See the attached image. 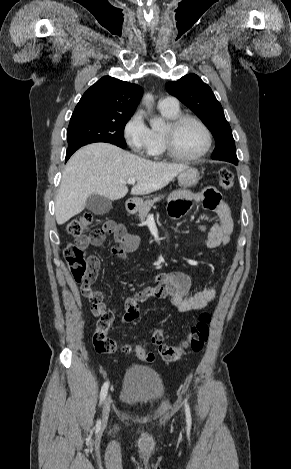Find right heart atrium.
Returning <instances> with one entry per match:
<instances>
[{"instance_id":"d8ad5b80","label":"right heart atrium","mask_w":291,"mask_h":469,"mask_svg":"<svg viewBox=\"0 0 291 469\" xmlns=\"http://www.w3.org/2000/svg\"><path fill=\"white\" fill-rule=\"evenodd\" d=\"M123 138L136 154H146L152 143V131L144 121L141 111L135 112L123 127Z\"/></svg>"}]
</instances>
